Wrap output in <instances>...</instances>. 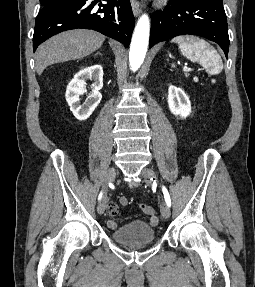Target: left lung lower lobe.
<instances>
[{
  "label": "left lung lower lobe",
  "mask_w": 255,
  "mask_h": 287,
  "mask_svg": "<svg viewBox=\"0 0 255 287\" xmlns=\"http://www.w3.org/2000/svg\"><path fill=\"white\" fill-rule=\"evenodd\" d=\"M192 34L216 42L228 57L229 36L222 0H171L152 15L150 43Z\"/></svg>",
  "instance_id": "1"
}]
</instances>
